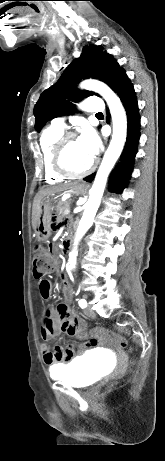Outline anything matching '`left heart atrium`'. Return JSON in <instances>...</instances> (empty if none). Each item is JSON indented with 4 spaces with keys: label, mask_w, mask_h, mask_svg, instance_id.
<instances>
[{
    "label": "left heart atrium",
    "mask_w": 165,
    "mask_h": 461,
    "mask_svg": "<svg viewBox=\"0 0 165 461\" xmlns=\"http://www.w3.org/2000/svg\"><path fill=\"white\" fill-rule=\"evenodd\" d=\"M84 149L94 156L98 152L100 141L97 134L91 128H85L78 137Z\"/></svg>",
    "instance_id": "39dd6f15"
}]
</instances>
